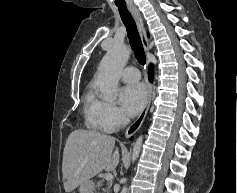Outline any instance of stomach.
I'll return each instance as SVG.
<instances>
[{
    "instance_id": "0dacf381",
    "label": "stomach",
    "mask_w": 237,
    "mask_h": 193,
    "mask_svg": "<svg viewBox=\"0 0 237 193\" xmlns=\"http://www.w3.org/2000/svg\"><path fill=\"white\" fill-rule=\"evenodd\" d=\"M93 191L94 183L91 180L81 184L79 187V193H94Z\"/></svg>"
}]
</instances>
